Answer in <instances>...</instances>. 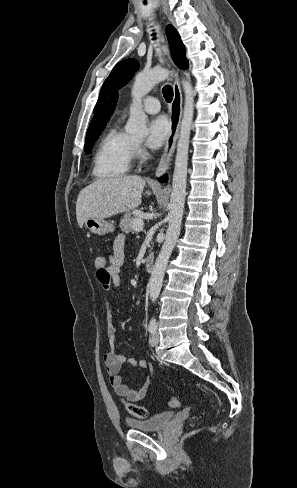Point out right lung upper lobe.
Instances as JSON below:
<instances>
[{
	"label": "right lung upper lobe",
	"mask_w": 297,
	"mask_h": 488,
	"mask_svg": "<svg viewBox=\"0 0 297 488\" xmlns=\"http://www.w3.org/2000/svg\"><path fill=\"white\" fill-rule=\"evenodd\" d=\"M117 99H118V93H115L108 98L105 104L94 116L88 128L86 137L91 135L97 128L105 125L110 120L111 115L113 114L114 109L116 107Z\"/></svg>",
	"instance_id": "cb5924a9"
}]
</instances>
